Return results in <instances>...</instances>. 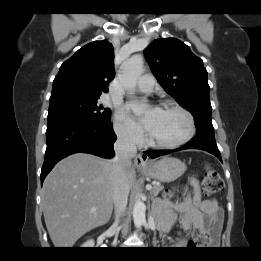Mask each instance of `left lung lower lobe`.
<instances>
[{"instance_id": "left-lung-lower-lobe-1", "label": "left lung lower lobe", "mask_w": 261, "mask_h": 261, "mask_svg": "<svg viewBox=\"0 0 261 261\" xmlns=\"http://www.w3.org/2000/svg\"><path fill=\"white\" fill-rule=\"evenodd\" d=\"M185 149H200L207 151L215 155L222 162L221 155L215 141L214 132L209 131L196 133L195 137L191 141H189L186 145L178 149L166 151H146L145 154L150 158H156L158 156L166 155L172 152Z\"/></svg>"}]
</instances>
